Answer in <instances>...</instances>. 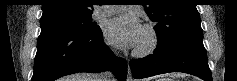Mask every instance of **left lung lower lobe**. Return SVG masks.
<instances>
[{
	"instance_id": "left-lung-lower-lobe-1",
	"label": "left lung lower lobe",
	"mask_w": 237,
	"mask_h": 81,
	"mask_svg": "<svg viewBox=\"0 0 237 81\" xmlns=\"http://www.w3.org/2000/svg\"><path fill=\"white\" fill-rule=\"evenodd\" d=\"M134 78H145L169 72H184L212 81L203 33L183 35L157 46L154 54L130 61Z\"/></svg>"
}]
</instances>
